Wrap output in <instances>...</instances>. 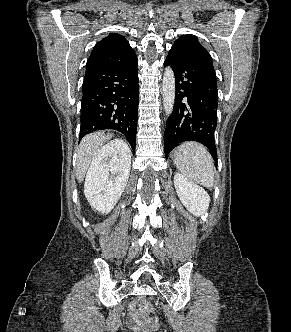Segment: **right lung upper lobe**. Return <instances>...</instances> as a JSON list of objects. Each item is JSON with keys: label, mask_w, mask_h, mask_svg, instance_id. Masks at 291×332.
Segmentation results:
<instances>
[{"label": "right lung upper lobe", "mask_w": 291, "mask_h": 332, "mask_svg": "<svg viewBox=\"0 0 291 332\" xmlns=\"http://www.w3.org/2000/svg\"><path fill=\"white\" fill-rule=\"evenodd\" d=\"M135 56V52L122 35L110 33L94 46L86 64V71L118 65Z\"/></svg>", "instance_id": "right-lung-upper-lobe-1"}]
</instances>
